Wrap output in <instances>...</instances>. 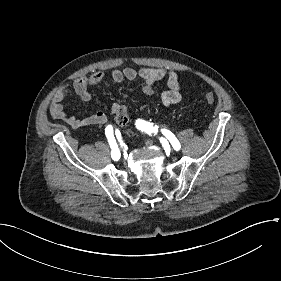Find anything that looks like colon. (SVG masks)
<instances>
[{
    "mask_svg": "<svg viewBox=\"0 0 281 281\" xmlns=\"http://www.w3.org/2000/svg\"><path fill=\"white\" fill-rule=\"evenodd\" d=\"M205 102L208 104H213L216 102L217 97L214 93H207L205 94ZM130 120V113L128 112L127 108H121L117 112L116 121L120 125H125L121 123H127Z\"/></svg>",
    "mask_w": 281,
    "mask_h": 281,
    "instance_id": "colon-1",
    "label": "colon"
}]
</instances>
